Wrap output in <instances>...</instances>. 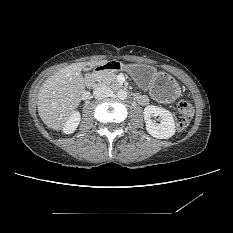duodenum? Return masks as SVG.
<instances>
[{"label": "duodenum", "mask_w": 233, "mask_h": 233, "mask_svg": "<svg viewBox=\"0 0 233 233\" xmlns=\"http://www.w3.org/2000/svg\"><path fill=\"white\" fill-rule=\"evenodd\" d=\"M121 65L120 63L116 61H110V62H103L98 64L96 67H94L88 74L86 75V82L90 86H95V78L94 76L98 73L104 72V71H118L120 70ZM137 98V95H136Z\"/></svg>", "instance_id": "duodenum-1"}]
</instances>
